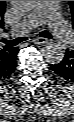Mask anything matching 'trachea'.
<instances>
[{"label": "trachea", "mask_w": 74, "mask_h": 122, "mask_svg": "<svg viewBox=\"0 0 74 122\" xmlns=\"http://www.w3.org/2000/svg\"><path fill=\"white\" fill-rule=\"evenodd\" d=\"M39 36L43 37V38H48V39L52 38V35L48 31H41L39 33ZM27 39L28 38L26 36H23V37H18L16 39H13V40H10V41L4 40V43H6L7 46L14 47V46L20 44L21 42L26 41Z\"/></svg>", "instance_id": "obj_1"}]
</instances>
